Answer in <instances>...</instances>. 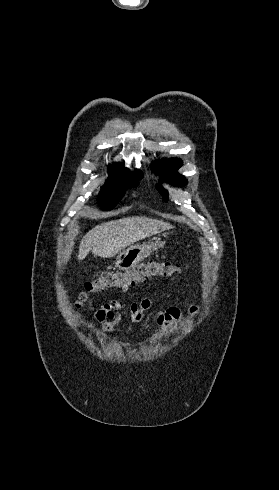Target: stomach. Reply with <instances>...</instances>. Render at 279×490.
Instances as JSON below:
<instances>
[{
    "mask_svg": "<svg viewBox=\"0 0 279 490\" xmlns=\"http://www.w3.org/2000/svg\"><path fill=\"white\" fill-rule=\"evenodd\" d=\"M164 244L165 242L156 240V242H144L141 246H131V248H127L124 252L117 254L115 266L119 270H131V268H135L137 264L143 262L145 258L151 256L152 252H157L160 248H164Z\"/></svg>",
    "mask_w": 279,
    "mask_h": 490,
    "instance_id": "0dacf381",
    "label": "stomach"
}]
</instances>
